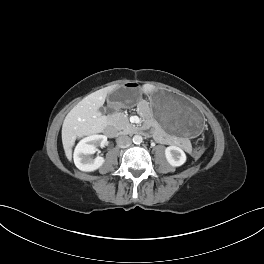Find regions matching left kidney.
Here are the masks:
<instances>
[{
	"label": "left kidney",
	"instance_id": "obj_1",
	"mask_svg": "<svg viewBox=\"0 0 264 264\" xmlns=\"http://www.w3.org/2000/svg\"><path fill=\"white\" fill-rule=\"evenodd\" d=\"M165 156L168 163L173 167H178L186 162V154L177 146H169L165 149Z\"/></svg>",
	"mask_w": 264,
	"mask_h": 264
}]
</instances>
